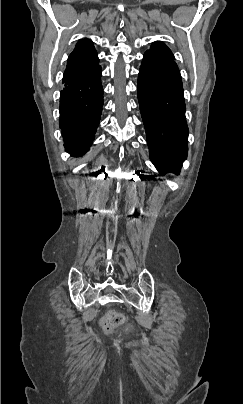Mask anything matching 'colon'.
<instances>
[{
  "instance_id": "1",
  "label": "colon",
  "mask_w": 243,
  "mask_h": 404,
  "mask_svg": "<svg viewBox=\"0 0 243 404\" xmlns=\"http://www.w3.org/2000/svg\"><path fill=\"white\" fill-rule=\"evenodd\" d=\"M125 321V316L119 312L112 311L109 313V315L106 318V324L108 326H116V325H121Z\"/></svg>"
}]
</instances>
